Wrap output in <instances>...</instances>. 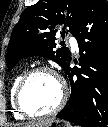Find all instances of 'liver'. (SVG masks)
I'll list each match as a JSON object with an SVG mask.
<instances>
[{"instance_id": "6515ba94", "label": "liver", "mask_w": 108, "mask_h": 127, "mask_svg": "<svg viewBox=\"0 0 108 127\" xmlns=\"http://www.w3.org/2000/svg\"><path fill=\"white\" fill-rule=\"evenodd\" d=\"M51 121H53V119H43V120H39L37 122L23 124V125H21V127H44Z\"/></svg>"}]
</instances>
